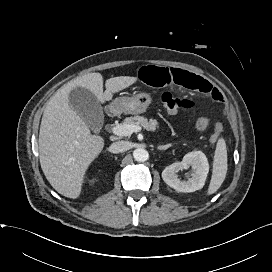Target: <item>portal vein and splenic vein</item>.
<instances>
[{
    "label": "portal vein and splenic vein",
    "mask_w": 272,
    "mask_h": 272,
    "mask_svg": "<svg viewBox=\"0 0 272 272\" xmlns=\"http://www.w3.org/2000/svg\"><path fill=\"white\" fill-rule=\"evenodd\" d=\"M142 128L132 124H119L112 128V133L117 136H130L133 132H140Z\"/></svg>",
    "instance_id": "portal-vein-and-splenic-vein-1"
}]
</instances>
